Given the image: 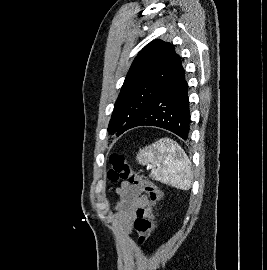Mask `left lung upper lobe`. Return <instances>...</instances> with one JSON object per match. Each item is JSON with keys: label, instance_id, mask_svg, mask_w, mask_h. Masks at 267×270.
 <instances>
[{"label": "left lung upper lobe", "instance_id": "5c2ea615", "mask_svg": "<svg viewBox=\"0 0 267 270\" xmlns=\"http://www.w3.org/2000/svg\"><path fill=\"white\" fill-rule=\"evenodd\" d=\"M180 57L172 44L156 39L134 59L114 105L108 131L128 130L168 82Z\"/></svg>", "mask_w": 267, "mask_h": 270}]
</instances>
